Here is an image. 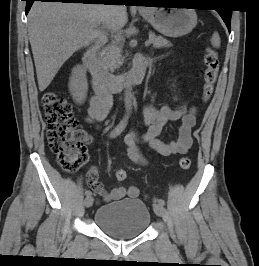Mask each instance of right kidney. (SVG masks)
<instances>
[{"mask_svg": "<svg viewBox=\"0 0 259 266\" xmlns=\"http://www.w3.org/2000/svg\"><path fill=\"white\" fill-rule=\"evenodd\" d=\"M69 91L77 104H83L87 97L88 83L86 69L84 66L77 65L72 70L69 81Z\"/></svg>", "mask_w": 259, "mask_h": 266, "instance_id": "ca27d5eb", "label": "right kidney"}]
</instances>
